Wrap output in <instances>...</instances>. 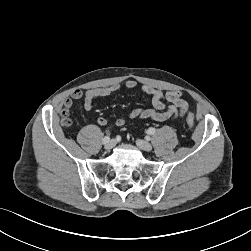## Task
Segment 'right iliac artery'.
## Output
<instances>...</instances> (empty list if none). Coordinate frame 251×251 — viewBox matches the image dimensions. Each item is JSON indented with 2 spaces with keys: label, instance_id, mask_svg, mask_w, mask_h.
Listing matches in <instances>:
<instances>
[{
  "label": "right iliac artery",
  "instance_id": "1",
  "mask_svg": "<svg viewBox=\"0 0 251 251\" xmlns=\"http://www.w3.org/2000/svg\"><path fill=\"white\" fill-rule=\"evenodd\" d=\"M109 141H110V137H109V136H105V137L102 139V143H103V144H107Z\"/></svg>",
  "mask_w": 251,
  "mask_h": 251
}]
</instances>
